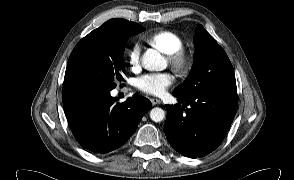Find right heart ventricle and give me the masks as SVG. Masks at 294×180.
Returning a JSON list of instances; mask_svg holds the SVG:
<instances>
[{
  "instance_id": "obj_1",
  "label": "right heart ventricle",
  "mask_w": 294,
  "mask_h": 180,
  "mask_svg": "<svg viewBox=\"0 0 294 180\" xmlns=\"http://www.w3.org/2000/svg\"><path fill=\"white\" fill-rule=\"evenodd\" d=\"M144 40L159 48L167 55H172L183 49V41L181 37L172 31H158L148 37H145Z\"/></svg>"
}]
</instances>
